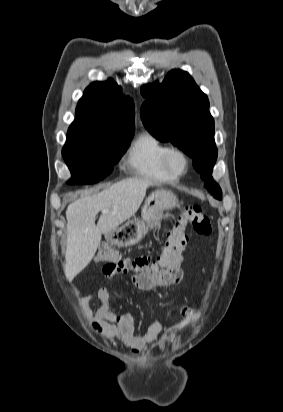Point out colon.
Listing matches in <instances>:
<instances>
[{"instance_id":"colon-1","label":"colon","mask_w":283,"mask_h":412,"mask_svg":"<svg viewBox=\"0 0 283 412\" xmlns=\"http://www.w3.org/2000/svg\"><path fill=\"white\" fill-rule=\"evenodd\" d=\"M192 225L196 234L210 236L212 226L206 212L198 205L184 206L176 217L174 226L168 233L165 246L156 259L139 257L132 260L118 259L115 250L108 244H102L97 253V261L103 264L105 275H117L124 272H137L154 276L166 271L180 254L187 243V226Z\"/></svg>"}]
</instances>
